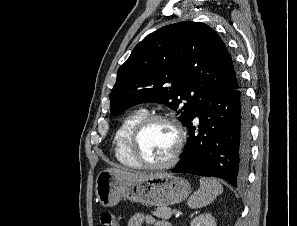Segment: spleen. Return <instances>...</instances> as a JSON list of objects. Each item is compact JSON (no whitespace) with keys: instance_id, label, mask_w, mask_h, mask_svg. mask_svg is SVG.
Segmentation results:
<instances>
[{"instance_id":"obj_1","label":"spleen","mask_w":297,"mask_h":226,"mask_svg":"<svg viewBox=\"0 0 297 226\" xmlns=\"http://www.w3.org/2000/svg\"><path fill=\"white\" fill-rule=\"evenodd\" d=\"M223 192L222 185L213 178H200V188L188 199L187 204L191 209L205 207L212 203Z\"/></svg>"}]
</instances>
